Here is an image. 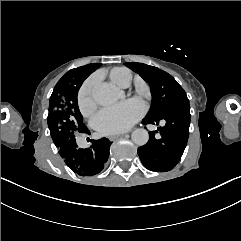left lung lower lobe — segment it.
I'll return each instance as SVG.
<instances>
[{"label":"left lung lower lobe","mask_w":241,"mask_h":241,"mask_svg":"<svg viewBox=\"0 0 241 241\" xmlns=\"http://www.w3.org/2000/svg\"><path fill=\"white\" fill-rule=\"evenodd\" d=\"M190 119L189 101L178 103L162 115L143 119L145 125L165 121L163 127H158L161 137L155 138V132L151 131L149 141L138 148L140 160L147 169L165 172L177 165L188 141Z\"/></svg>","instance_id":"obj_1"}]
</instances>
